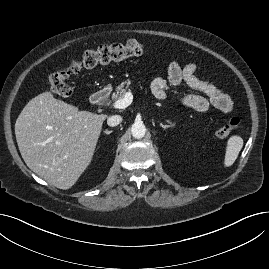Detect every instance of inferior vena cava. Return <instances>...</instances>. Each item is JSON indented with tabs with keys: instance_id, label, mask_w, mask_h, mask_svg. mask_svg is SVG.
Masks as SVG:
<instances>
[{
	"instance_id": "obj_1",
	"label": "inferior vena cava",
	"mask_w": 269,
	"mask_h": 269,
	"mask_svg": "<svg viewBox=\"0 0 269 269\" xmlns=\"http://www.w3.org/2000/svg\"><path fill=\"white\" fill-rule=\"evenodd\" d=\"M122 122V117L120 115H112L107 119V124L110 127H115Z\"/></svg>"
}]
</instances>
